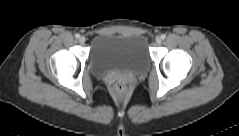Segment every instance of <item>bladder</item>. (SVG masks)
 <instances>
[{
	"instance_id": "1",
	"label": "bladder",
	"mask_w": 239,
	"mask_h": 136,
	"mask_svg": "<svg viewBox=\"0 0 239 136\" xmlns=\"http://www.w3.org/2000/svg\"><path fill=\"white\" fill-rule=\"evenodd\" d=\"M149 62L148 42L142 35L104 32L92 39L90 63L98 74L140 72Z\"/></svg>"
}]
</instances>
